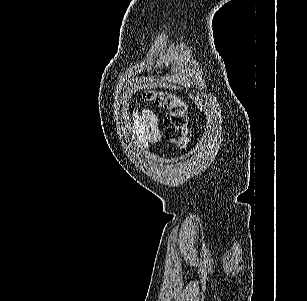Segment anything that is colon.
Instances as JSON below:
<instances>
[{"instance_id":"5ec220e1","label":"colon","mask_w":307,"mask_h":301,"mask_svg":"<svg viewBox=\"0 0 307 301\" xmlns=\"http://www.w3.org/2000/svg\"><path fill=\"white\" fill-rule=\"evenodd\" d=\"M144 98L167 110L164 118L166 139L180 148H185L189 141L188 106L176 95L149 91Z\"/></svg>"}]
</instances>
